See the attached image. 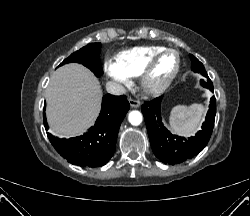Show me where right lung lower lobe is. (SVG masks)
I'll use <instances>...</instances> for the list:
<instances>
[{
	"mask_svg": "<svg viewBox=\"0 0 250 216\" xmlns=\"http://www.w3.org/2000/svg\"><path fill=\"white\" fill-rule=\"evenodd\" d=\"M130 108L126 96L107 94L95 125L83 136L59 139L48 133L56 151L69 163L81 167H101L113 156L121 122ZM46 130L49 128L43 113Z\"/></svg>",
	"mask_w": 250,
	"mask_h": 216,
	"instance_id": "obj_1",
	"label": "right lung lower lobe"
}]
</instances>
